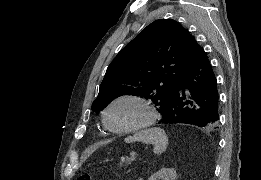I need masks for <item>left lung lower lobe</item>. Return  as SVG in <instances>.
I'll list each match as a JSON object with an SVG mask.
<instances>
[{
  "label": "left lung lower lobe",
  "mask_w": 261,
  "mask_h": 180,
  "mask_svg": "<svg viewBox=\"0 0 261 180\" xmlns=\"http://www.w3.org/2000/svg\"><path fill=\"white\" fill-rule=\"evenodd\" d=\"M217 80L210 61L198 46L193 61L178 79L161 123H184L214 130L219 120Z\"/></svg>",
  "instance_id": "1"
}]
</instances>
